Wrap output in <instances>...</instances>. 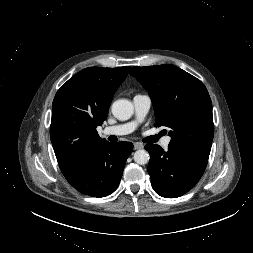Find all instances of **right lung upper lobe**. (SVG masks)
Returning a JSON list of instances; mask_svg holds the SVG:
<instances>
[{"label":"right lung upper lobe","instance_id":"obj_1","mask_svg":"<svg viewBox=\"0 0 253 253\" xmlns=\"http://www.w3.org/2000/svg\"><path fill=\"white\" fill-rule=\"evenodd\" d=\"M129 69L88 67L56 93L50 138L64 176L73 172L96 145L106 141L96 128L106 119L113 95Z\"/></svg>","mask_w":253,"mask_h":253}]
</instances>
